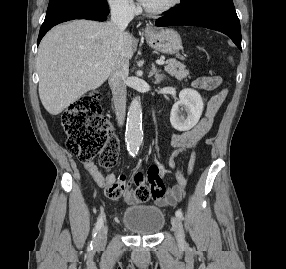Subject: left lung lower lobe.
<instances>
[{
	"label": "left lung lower lobe",
	"instance_id": "0a47b994",
	"mask_svg": "<svg viewBox=\"0 0 286 269\" xmlns=\"http://www.w3.org/2000/svg\"><path fill=\"white\" fill-rule=\"evenodd\" d=\"M156 21V26L192 25L220 31L241 48V28L234 5H203L190 10L173 9Z\"/></svg>",
	"mask_w": 286,
	"mask_h": 269
}]
</instances>
